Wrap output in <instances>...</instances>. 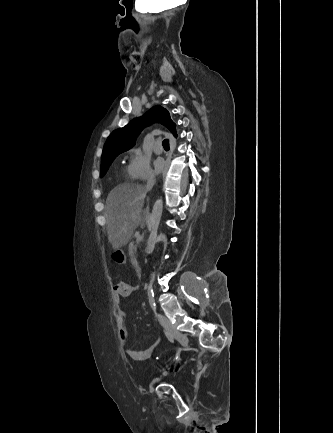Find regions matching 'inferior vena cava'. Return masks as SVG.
I'll return each mask as SVG.
<instances>
[{
    "label": "inferior vena cava",
    "instance_id": "inferior-vena-cava-1",
    "mask_svg": "<svg viewBox=\"0 0 333 433\" xmlns=\"http://www.w3.org/2000/svg\"><path fill=\"white\" fill-rule=\"evenodd\" d=\"M154 184H155V176H154L153 173L150 172V173L148 174V176H147V184H146V188H147L148 190H151V189L153 188ZM157 319H158L159 321H163V320H165V317H164L163 315H161V314H158V315H157Z\"/></svg>",
    "mask_w": 333,
    "mask_h": 433
}]
</instances>
